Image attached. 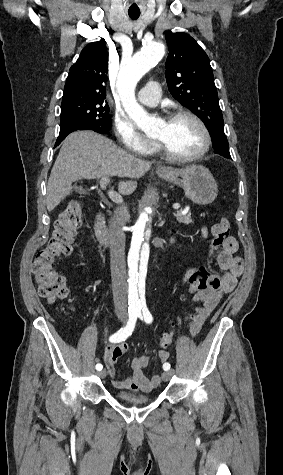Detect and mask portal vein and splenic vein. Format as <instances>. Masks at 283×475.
Segmentation results:
<instances>
[{"instance_id": "18ae733b", "label": "portal vein and splenic vein", "mask_w": 283, "mask_h": 475, "mask_svg": "<svg viewBox=\"0 0 283 475\" xmlns=\"http://www.w3.org/2000/svg\"><path fill=\"white\" fill-rule=\"evenodd\" d=\"M109 182H110V180H109L108 176H103V178H101L100 186H101L102 190H106V186H107V184H109ZM108 196H109L110 200H112V202H121V200H122L120 194H117V192H108ZM173 208H174V210H178V208H180V204H173Z\"/></svg>"}]
</instances>
